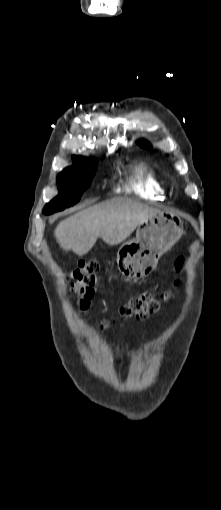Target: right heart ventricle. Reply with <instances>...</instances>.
Here are the masks:
<instances>
[{
    "label": "right heart ventricle",
    "instance_id": "obj_1",
    "mask_svg": "<svg viewBox=\"0 0 221 510\" xmlns=\"http://www.w3.org/2000/svg\"><path fill=\"white\" fill-rule=\"evenodd\" d=\"M165 181L150 167L138 164L124 190L143 199L158 201L165 194Z\"/></svg>",
    "mask_w": 221,
    "mask_h": 510
}]
</instances>
